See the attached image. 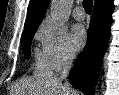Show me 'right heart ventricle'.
<instances>
[{
	"label": "right heart ventricle",
	"mask_w": 119,
	"mask_h": 95,
	"mask_svg": "<svg viewBox=\"0 0 119 95\" xmlns=\"http://www.w3.org/2000/svg\"><path fill=\"white\" fill-rule=\"evenodd\" d=\"M34 71L38 74L49 75L51 73V67L45 56L44 51L38 49L35 50V60L33 65Z\"/></svg>",
	"instance_id": "right-heart-ventricle-1"
}]
</instances>
